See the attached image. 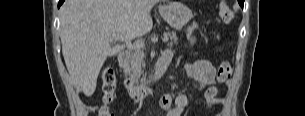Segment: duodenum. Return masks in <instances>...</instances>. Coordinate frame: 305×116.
<instances>
[{
	"label": "duodenum",
	"mask_w": 305,
	"mask_h": 116,
	"mask_svg": "<svg viewBox=\"0 0 305 116\" xmlns=\"http://www.w3.org/2000/svg\"><path fill=\"white\" fill-rule=\"evenodd\" d=\"M129 54L122 53L118 56V64L122 69H125L129 64ZM171 58L169 57H161L159 61L157 62L155 69H154V75L152 78V82L150 84H147L145 86H134L127 82V88L130 97L134 102H142L146 100L153 91L152 85L154 83L159 82L165 75L167 68L170 64Z\"/></svg>",
	"instance_id": "410a0bca"
}]
</instances>
